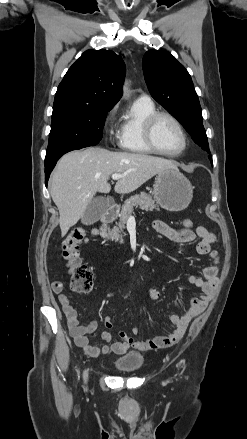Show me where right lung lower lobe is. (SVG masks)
<instances>
[{
  "mask_svg": "<svg viewBox=\"0 0 247 439\" xmlns=\"http://www.w3.org/2000/svg\"><path fill=\"white\" fill-rule=\"evenodd\" d=\"M56 162H57V161H56ZM56 162H54V163L50 164L49 166L45 167V184H46V185H47V183H48V179H49L50 173H51V171L53 170V168H54Z\"/></svg>",
  "mask_w": 247,
  "mask_h": 439,
  "instance_id": "98d812e1",
  "label": "right lung lower lobe"
}]
</instances>
